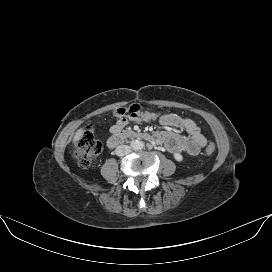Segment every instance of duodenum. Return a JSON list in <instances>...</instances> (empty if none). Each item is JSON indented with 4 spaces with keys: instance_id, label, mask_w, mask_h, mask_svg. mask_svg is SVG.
<instances>
[{
    "instance_id": "duodenum-1",
    "label": "duodenum",
    "mask_w": 272,
    "mask_h": 272,
    "mask_svg": "<svg viewBox=\"0 0 272 272\" xmlns=\"http://www.w3.org/2000/svg\"><path fill=\"white\" fill-rule=\"evenodd\" d=\"M135 139L150 140L151 135H149L148 133L138 132L134 130H118L110 136L107 141V145L110 148H114L125 140Z\"/></svg>"
}]
</instances>
